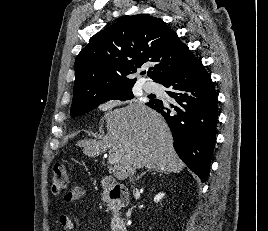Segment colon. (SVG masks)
Listing matches in <instances>:
<instances>
[{"label": "colon", "mask_w": 268, "mask_h": 231, "mask_svg": "<svg viewBox=\"0 0 268 231\" xmlns=\"http://www.w3.org/2000/svg\"><path fill=\"white\" fill-rule=\"evenodd\" d=\"M69 185L67 168L63 163H57L52 173V191L54 193L65 192Z\"/></svg>", "instance_id": "obj_1"}]
</instances>
